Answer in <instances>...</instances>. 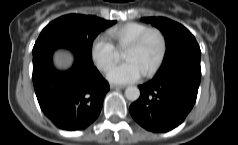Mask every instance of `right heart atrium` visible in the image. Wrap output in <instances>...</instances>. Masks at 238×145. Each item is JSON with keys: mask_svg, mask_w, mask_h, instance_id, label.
<instances>
[{"mask_svg": "<svg viewBox=\"0 0 238 145\" xmlns=\"http://www.w3.org/2000/svg\"><path fill=\"white\" fill-rule=\"evenodd\" d=\"M90 56L100 71H107L117 59V50L104 35H97L90 45Z\"/></svg>", "mask_w": 238, "mask_h": 145, "instance_id": "d8ad5b80", "label": "right heart atrium"}]
</instances>
